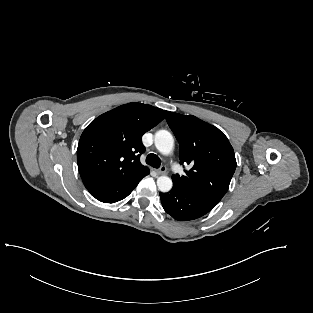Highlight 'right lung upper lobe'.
Here are the masks:
<instances>
[{
    "mask_svg": "<svg viewBox=\"0 0 313 313\" xmlns=\"http://www.w3.org/2000/svg\"><path fill=\"white\" fill-rule=\"evenodd\" d=\"M166 111L128 103L93 120L83 131L77 162L87 190L120 183L149 169L140 163L142 135L165 117Z\"/></svg>",
    "mask_w": 313,
    "mask_h": 313,
    "instance_id": "1",
    "label": "right lung upper lobe"
}]
</instances>
